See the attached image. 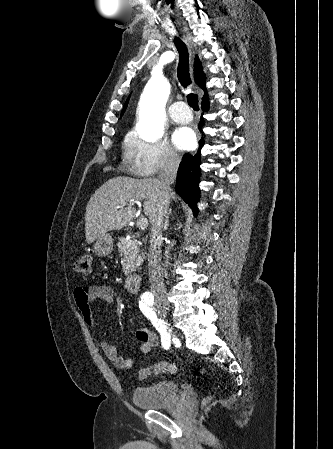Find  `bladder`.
Masks as SVG:
<instances>
[{"instance_id":"obj_1","label":"bladder","mask_w":333,"mask_h":449,"mask_svg":"<svg viewBox=\"0 0 333 449\" xmlns=\"http://www.w3.org/2000/svg\"><path fill=\"white\" fill-rule=\"evenodd\" d=\"M181 395L180 386L174 381H160L138 386L133 390L132 402L146 410H157L173 406Z\"/></svg>"}]
</instances>
